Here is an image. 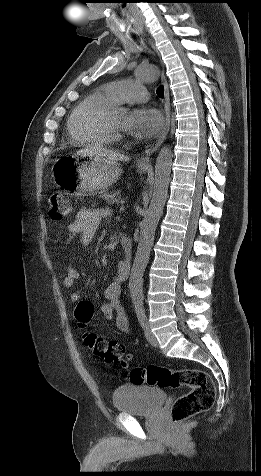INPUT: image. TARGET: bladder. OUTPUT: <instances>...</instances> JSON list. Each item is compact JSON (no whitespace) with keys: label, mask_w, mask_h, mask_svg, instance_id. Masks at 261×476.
<instances>
[{"label":"bladder","mask_w":261,"mask_h":476,"mask_svg":"<svg viewBox=\"0 0 261 476\" xmlns=\"http://www.w3.org/2000/svg\"><path fill=\"white\" fill-rule=\"evenodd\" d=\"M112 400L119 412L147 416L161 408L166 393L162 388L152 385H123L114 391Z\"/></svg>","instance_id":"1"}]
</instances>
